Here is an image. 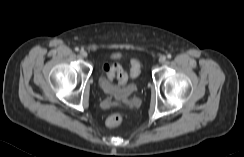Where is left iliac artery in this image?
Returning a JSON list of instances; mask_svg holds the SVG:
<instances>
[{
	"instance_id": "1",
	"label": "left iliac artery",
	"mask_w": 244,
	"mask_h": 157,
	"mask_svg": "<svg viewBox=\"0 0 244 157\" xmlns=\"http://www.w3.org/2000/svg\"><path fill=\"white\" fill-rule=\"evenodd\" d=\"M171 57H172V56H171V54H168V55H167V58H169V59H170Z\"/></svg>"
}]
</instances>
